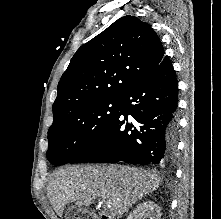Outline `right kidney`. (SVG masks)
<instances>
[{"label":"right kidney","instance_id":"right-kidney-1","mask_svg":"<svg viewBox=\"0 0 221 219\" xmlns=\"http://www.w3.org/2000/svg\"><path fill=\"white\" fill-rule=\"evenodd\" d=\"M161 209L152 201H145L128 215L126 219H161Z\"/></svg>","mask_w":221,"mask_h":219}]
</instances>
